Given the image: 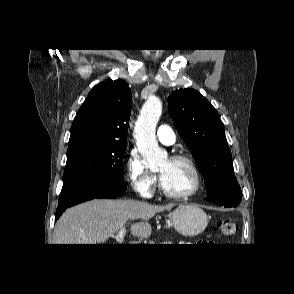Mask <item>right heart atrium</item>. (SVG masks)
<instances>
[{"label": "right heart atrium", "mask_w": 294, "mask_h": 294, "mask_svg": "<svg viewBox=\"0 0 294 294\" xmlns=\"http://www.w3.org/2000/svg\"><path fill=\"white\" fill-rule=\"evenodd\" d=\"M126 178L140 196L148 198L152 195L156 176L146 169L142 158L135 151H132L127 158Z\"/></svg>", "instance_id": "obj_1"}]
</instances>
